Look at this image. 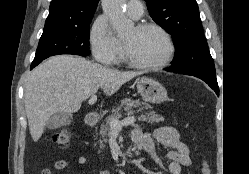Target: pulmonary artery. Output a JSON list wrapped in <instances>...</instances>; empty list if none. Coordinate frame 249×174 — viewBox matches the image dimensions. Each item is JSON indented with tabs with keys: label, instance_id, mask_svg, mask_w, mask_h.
<instances>
[{
	"label": "pulmonary artery",
	"instance_id": "e3ab8cb5",
	"mask_svg": "<svg viewBox=\"0 0 249 174\" xmlns=\"http://www.w3.org/2000/svg\"><path fill=\"white\" fill-rule=\"evenodd\" d=\"M126 12L132 19H139L143 14V3L140 0H129L126 3Z\"/></svg>",
	"mask_w": 249,
	"mask_h": 174
}]
</instances>
